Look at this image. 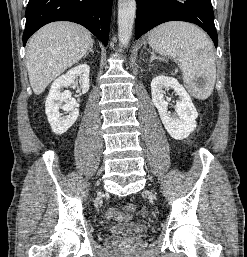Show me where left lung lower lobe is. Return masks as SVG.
I'll return each mask as SVG.
<instances>
[{
	"label": "left lung lower lobe",
	"mask_w": 247,
	"mask_h": 257,
	"mask_svg": "<svg viewBox=\"0 0 247 257\" xmlns=\"http://www.w3.org/2000/svg\"><path fill=\"white\" fill-rule=\"evenodd\" d=\"M186 21L203 28L218 45L211 0H137L135 38L167 21Z\"/></svg>",
	"instance_id": "obj_1"
}]
</instances>
